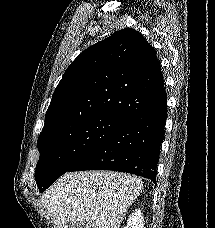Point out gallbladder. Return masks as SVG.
<instances>
[{"mask_svg":"<svg viewBox=\"0 0 215 228\" xmlns=\"http://www.w3.org/2000/svg\"><path fill=\"white\" fill-rule=\"evenodd\" d=\"M68 228H74V226H68Z\"/></svg>","mask_w":215,"mask_h":228,"instance_id":"gallbladder-1","label":"gallbladder"}]
</instances>
